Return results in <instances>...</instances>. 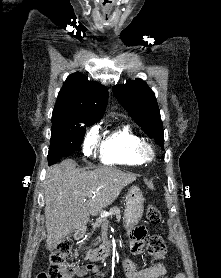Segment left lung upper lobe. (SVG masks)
Listing matches in <instances>:
<instances>
[{
	"label": "left lung upper lobe",
	"mask_w": 221,
	"mask_h": 278,
	"mask_svg": "<svg viewBox=\"0 0 221 278\" xmlns=\"http://www.w3.org/2000/svg\"><path fill=\"white\" fill-rule=\"evenodd\" d=\"M113 92L129 115L163 148V126L154 92L141 79L113 87ZM164 149V148H163Z\"/></svg>",
	"instance_id": "obj_1"
}]
</instances>
